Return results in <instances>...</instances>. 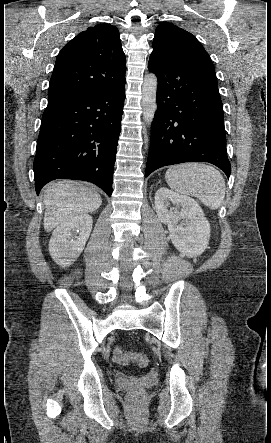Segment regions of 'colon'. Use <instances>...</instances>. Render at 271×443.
Listing matches in <instances>:
<instances>
[{
    "label": "colon",
    "mask_w": 271,
    "mask_h": 443,
    "mask_svg": "<svg viewBox=\"0 0 271 443\" xmlns=\"http://www.w3.org/2000/svg\"><path fill=\"white\" fill-rule=\"evenodd\" d=\"M113 360L121 365L134 363L139 367H144L147 363V358L145 355L136 352H126L122 348L115 349L113 353ZM142 398L143 392L141 390H134L128 396L129 402L133 404L139 403Z\"/></svg>",
    "instance_id": "5ec220e1"
}]
</instances>
